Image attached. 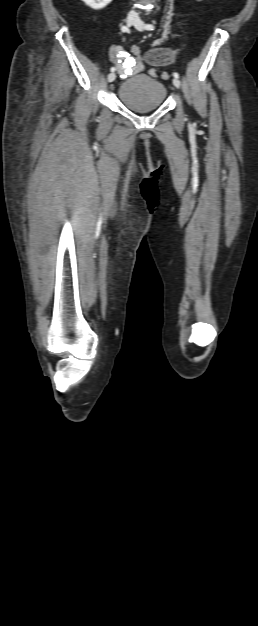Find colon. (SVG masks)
<instances>
[{
	"mask_svg": "<svg viewBox=\"0 0 258 626\" xmlns=\"http://www.w3.org/2000/svg\"><path fill=\"white\" fill-rule=\"evenodd\" d=\"M132 52L136 55L140 54V49L136 46L132 47ZM174 59V52L166 47H158L153 49L148 55L147 60L154 65H167Z\"/></svg>",
	"mask_w": 258,
	"mask_h": 626,
	"instance_id": "obj_1",
	"label": "colon"
}]
</instances>
